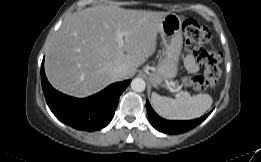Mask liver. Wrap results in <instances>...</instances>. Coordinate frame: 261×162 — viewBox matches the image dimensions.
I'll list each match as a JSON object with an SVG mask.
<instances>
[{
	"label": "liver",
	"instance_id": "6515ba94",
	"mask_svg": "<svg viewBox=\"0 0 261 162\" xmlns=\"http://www.w3.org/2000/svg\"><path fill=\"white\" fill-rule=\"evenodd\" d=\"M168 12L95 6L66 18L53 36L45 59L49 82L59 91L87 97L111 83L132 77L156 50L157 33ZM124 31V46L116 32ZM125 66L117 78L113 69Z\"/></svg>",
	"mask_w": 261,
	"mask_h": 162
}]
</instances>
